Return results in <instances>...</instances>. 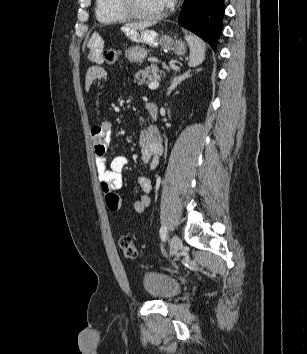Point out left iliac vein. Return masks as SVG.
I'll use <instances>...</instances> for the list:
<instances>
[{"label": "left iliac vein", "instance_id": "left-iliac-vein-1", "mask_svg": "<svg viewBox=\"0 0 307 354\" xmlns=\"http://www.w3.org/2000/svg\"><path fill=\"white\" fill-rule=\"evenodd\" d=\"M181 240L177 235H173L170 241V256H174L181 248Z\"/></svg>", "mask_w": 307, "mask_h": 354}]
</instances>
